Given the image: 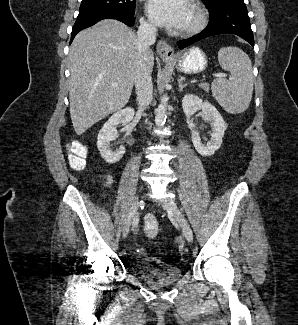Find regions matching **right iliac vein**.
Returning <instances> with one entry per match:
<instances>
[{"mask_svg":"<svg viewBox=\"0 0 298 325\" xmlns=\"http://www.w3.org/2000/svg\"><path fill=\"white\" fill-rule=\"evenodd\" d=\"M138 206H139V197L135 196L131 202L129 212H128L127 218L125 220V223H124L123 237H126L129 232L132 220L138 210Z\"/></svg>","mask_w":298,"mask_h":325,"instance_id":"obj_1","label":"right iliac vein"}]
</instances>
